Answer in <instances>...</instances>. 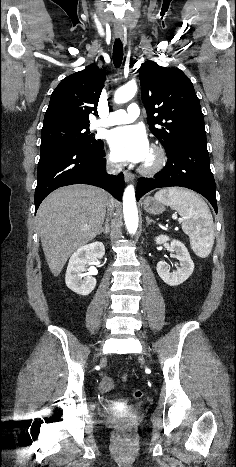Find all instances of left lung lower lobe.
Here are the masks:
<instances>
[{"instance_id": "1", "label": "left lung lower lobe", "mask_w": 236, "mask_h": 467, "mask_svg": "<svg viewBox=\"0 0 236 467\" xmlns=\"http://www.w3.org/2000/svg\"><path fill=\"white\" fill-rule=\"evenodd\" d=\"M166 153L168 160L162 171L152 178H139L137 201L155 188L181 186L203 195L217 213L215 181L210 170L206 137L184 138Z\"/></svg>"}]
</instances>
